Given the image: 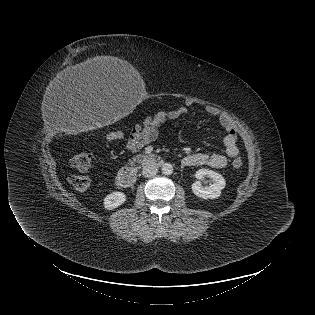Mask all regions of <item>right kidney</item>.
<instances>
[{"instance_id": "ca27d5eb", "label": "right kidney", "mask_w": 315, "mask_h": 315, "mask_svg": "<svg viewBox=\"0 0 315 315\" xmlns=\"http://www.w3.org/2000/svg\"><path fill=\"white\" fill-rule=\"evenodd\" d=\"M126 201V196L123 192H112L108 194L103 201L104 208L107 210H113Z\"/></svg>"}]
</instances>
